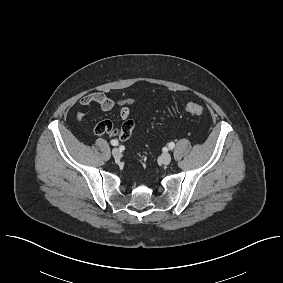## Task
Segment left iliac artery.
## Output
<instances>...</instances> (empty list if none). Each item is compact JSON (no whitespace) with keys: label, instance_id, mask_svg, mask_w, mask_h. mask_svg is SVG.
I'll return each instance as SVG.
<instances>
[{"label":"left iliac artery","instance_id":"obj_1","mask_svg":"<svg viewBox=\"0 0 283 283\" xmlns=\"http://www.w3.org/2000/svg\"><path fill=\"white\" fill-rule=\"evenodd\" d=\"M168 147H169V149H173L175 147V144L173 142H170Z\"/></svg>","mask_w":283,"mask_h":283}]
</instances>
